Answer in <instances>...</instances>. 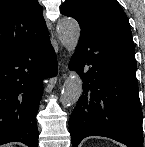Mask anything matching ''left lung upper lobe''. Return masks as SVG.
Returning a JSON list of instances; mask_svg holds the SVG:
<instances>
[{"mask_svg":"<svg viewBox=\"0 0 145 147\" xmlns=\"http://www.w3.org/2000/svg\"><path fill=\"white\" fill-rule=\"evenodd\" d=\"M61 13L75 18L84 29L120 30L131 35L128 18L116 0H66Z\"/></svg>","mask_w":145,"mask_h":147,"instance_id":"1","label":"left lung upper lobe"}]
</instances>
